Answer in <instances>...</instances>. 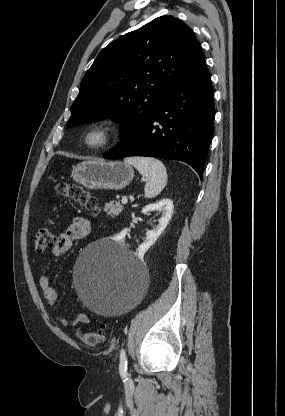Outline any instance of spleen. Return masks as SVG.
I'll use <instances>...</instances> for the list:
<instances>
[{"mask_svg": "<svg viewBox=\"0 0 285 416\" xmlns=\"http://www.w3.org/2000/svg\"><path fill=\"white\" fill-rule=\"evenodd\" d=\"M124 162L134 166L147 180L144 188L145 198H155L167 184V172L164 164L155 158H125Z\"/></svg>", "mask_w": 285, "mask_h": 416, "instance_id": "obj_1", "label": "spleen"}]
</instances>
